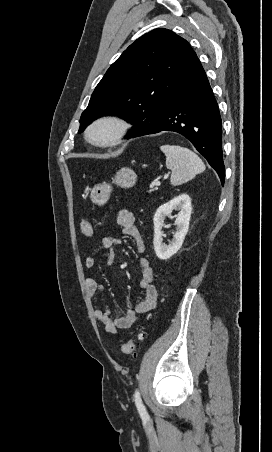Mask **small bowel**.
<instances>
[{"label": "small bowel", "instance_id": "small-bowel-1", "mask_svg": "<svg viewBox=\"0 0 272 452\" xmlns=\"http://www.w3.org/2000/svg\"><path fill=\"white\" fill-rule=\"evenodd\" d=\"M117 225L122 234L130 236L135 244L136 250L139 254V265L141 267V275L138 280V286L145 292L143 300L137 302L134 306L128 308L125 314L120 318H112L110 309L107 305L97 307L95 309V316L101 322L104 329L109 333H117L121 330L132 327L138 318L155 308L158 298L157 289L152 284L153 270L149 264L148 259L143 255L145 252L144 240L135 225V216L129 210H120L117 214ZM121 241L117 237H104L99 248L107 251L106 263L113 264L116 261V249ZM95 264L94 255H89L84 260V267L91 269ZM85 286L89 298L94 301L98 294L102 292V286L92 278L85 279Z\"/></svg>", "mask_w": 272, "mask_h": 452}]
</instances>
